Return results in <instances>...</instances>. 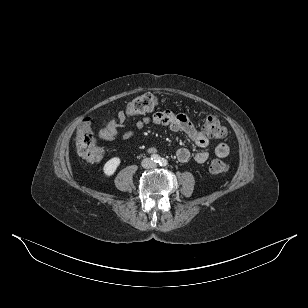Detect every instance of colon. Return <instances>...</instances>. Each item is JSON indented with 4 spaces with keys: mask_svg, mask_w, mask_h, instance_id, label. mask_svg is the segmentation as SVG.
Instances as JSON below:
<instances>
[{
    "mask_svg": "<svg viewBox=\"0 0 308 308\" xmlns=\"http://www.w3.org/2000/svg\"><path fill=\"white\" fill-rule=\"evenodd\" d=\"M163 103L164 100L154 94H142L129 102L126 107L125 116L152 112L162 107ZM118 127V121L112 119L100 129L99 134L103 140L113 141L120 135ZM201 127L203 133L211 139H221L227 134L226 127L214 116H206L202 121ZM75 145L78 154L85 161L93 163L101 158L102 151L92 131L90 118H85L79 124L75 135ZM209 169L213 175H221L228 170V165L221 157H216L211 161Z\"/></svg>",
    "mask_w": 308,
    "mask_h": 308,
    "instance_id": "1",
    "label": "colon"
}]
</instances>
